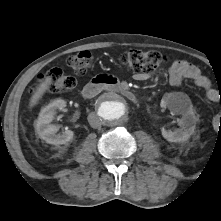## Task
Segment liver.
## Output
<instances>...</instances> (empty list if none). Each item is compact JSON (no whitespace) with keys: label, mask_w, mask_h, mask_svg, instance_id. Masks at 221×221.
Returning <instances> with one entry per match:
<instances>
[{"label":"liver","mask_w":221,"mask_h":221,"mask_svg":"<svg viewBox=\"0 0 221 221\" xmlns=\"http://www.w3.org/2000/svg\"><path fill=\"white\" fill-rule=\"evenodd\" d=\"M51 82H52V78L51 77H47L45 79V81L42 82L37 87L36 91L34 92V94L30 98V103H29L30 107H33L34 105H36L38 103V101L42 98V96L44 95V93L48 89V87L51 84Z\"/></svg>","instance_id":"liver-1"}]
</instances>
